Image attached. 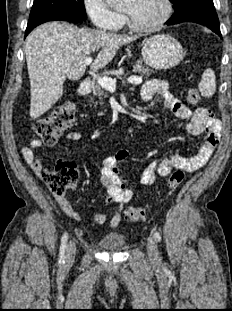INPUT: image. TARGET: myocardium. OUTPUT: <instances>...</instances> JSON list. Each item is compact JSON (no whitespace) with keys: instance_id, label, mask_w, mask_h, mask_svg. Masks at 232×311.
<instances>
[{"instance_id":"1","label":"myocardium","mask_w":232,"mask_h":311,"mask_svg":"<svg viewBox=\"0 0 232 311\" xmlns=\"http://www.w3.org/2000/svg\"><path fill=\"white\" fill-rule=\"evenodd\" d=\"M163 4V13L161 17L154 23L150 25H138L136 24L130 15L127 12H124L125 15V22L128 27L136 32L139 33H151L158 29H160L170 18L172 13V4L170 0H161Z\"/></svg>"}]
</instances>
